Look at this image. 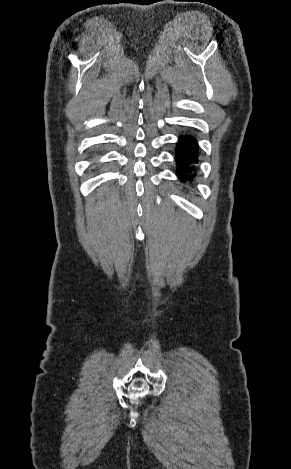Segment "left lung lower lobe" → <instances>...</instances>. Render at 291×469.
Wrapping results in <instances>:
<instances>
[{
    "label": "left lung lower lobe",
    "mask_w": 291,
    "mask_h": 469,
    "mask_svg": "<svg viewBox=\"0 0 291 469\" xmlns=\"http://www.w3.org/2000/svg\"><path fill=\"white\" fill-rule=\"evenodd\" d=\"M175 161L177 164V176L181 180H188L194 177L198 170L199 146L197 139L191 134L179 136L175 148Z\"/></svg>",
    "instance_id": "1"
}]
</instances>
